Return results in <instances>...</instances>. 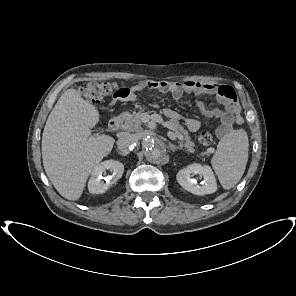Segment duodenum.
Listing matches in <instances>:
<instances>
[{
    "label": "duodenum",
    "mask_w": 296,
    "mask_h": 296,
    "mask_svg": "<svg viewBox=\"0 0 296 296\" xmlns=\"http://www.w3.org/2000/svg\"><path fill=\"white\" fill-rule=\"evenodd\" d=\"M121 117L119 115L113 116L109 121V129L111 132H117L120 127Z\"/></svg>",
    "instance_id": "obj_1"
}]
</instances>
